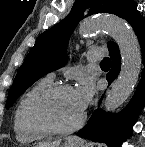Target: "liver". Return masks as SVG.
I'll use <instances>...</instances> for the list:
<instances>
[{
	"instance_id": "liver-1",
	"label": "liver",
	"mask_w": 145,
	"mask_h": 147,
	"mask_svg": "<svg viewBox=\"0 0 145 147\" xmlns=\"http://www.w3.org/2000/svg\"><path fill=\"white\" fill-rule=\"evenodd\" d=\"M60 140L55 142H41L36 147H59L60 146Z\"/></svg>"
}]
</instances>
